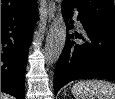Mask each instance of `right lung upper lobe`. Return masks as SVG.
<instances>
[{
	"label": "right lung upper lobe",
	"instance_id": "right-lung-upper-lobe-1",
	"mask_svg": "<svg viewBox=\"0 0 115 99\" xmlns=\"http://www.w3.org/2000/svg\"><path fill=\"white\" fill-rule=\"evenodd\" d=\"M29 2H31V0H1V13L20 9Z\"/></svg>",
	"mask_w": 115,
	"mask_h": 99
}]
</instances>
